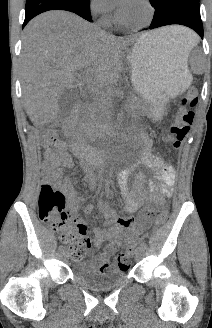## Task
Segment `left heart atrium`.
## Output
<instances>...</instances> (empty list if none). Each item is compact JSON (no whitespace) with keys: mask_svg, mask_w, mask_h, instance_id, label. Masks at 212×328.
Wrapping results in <instances>:
<instances>
[{"mask_svg":"<svg viewBox=\"0 0 212 328\" xmlns=\"http://www.w3.org/2000/svg\"><path fill=\"white\" fill-rule=\"evenodd\" d=\"M114 2L123 11L132 3V0H114Z\"/></svg>","mask_w":212,"mask_h":328,"instance_id":"left-heart-atrium-1","label":"left heart atrium"}]
</instances>
